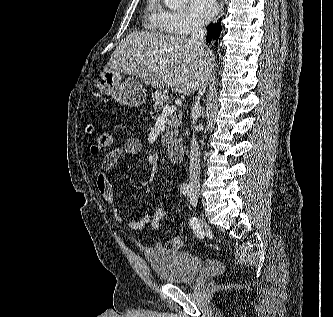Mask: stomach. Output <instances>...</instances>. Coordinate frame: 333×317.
<instances>
[{"label": "stomach", "mask_w": 333, "mask_h": 317, "mask_svg": "<svg viewBox=\"0 0 333 317\" xmlns=\"http://www.w3.org/2000/svg\"><path fill=\"white\" fill-rule=\"evenodd\" d=\"M121 72H102L96 80V88L111 96L116 102L137 107L146 99V91L142 83L135 78H128L121 82Z\"/></svg>", "instance_id": "stomach-1"}]
</instances>
